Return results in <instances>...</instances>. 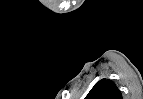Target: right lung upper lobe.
Returning a JSON list of instances; mask_svg holds the SVG:
<instances>
[{
  "label": "right lung upper lobe",
  "mask_w": 143,
  "mask_h": 99,
  "mask_svg": "<svg viewBox=\"0 0 143 99\" xmlns=\"http://www.w3.org/2000/svg\"><path fill=\"white\" fill-rule=\"evenodd\" d=\"M85 99H122V94L112 80L102 79L94 85Z\"/></svg>",
  "instance_id": "1"
}]
</instances>
